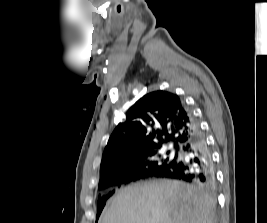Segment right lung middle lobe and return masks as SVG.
Listing matches in <instances>:
<instances>
[{
    "mask_svg": "<svg viewBox=\"0 0 267 223\" xmlns=\"http://www.w3.org/2000/svg\"><path fill=\"white\" fill-rule=\"evenodd\" d=\"M178 158V150L171 149L165 152L161 151V149L157 152H154L146 157H142L138 160V169L136 173L129 175L132 176L133 181L138 179H144L148 177H153L161 170L168 168L173 165ZM122 172L118 171L114 174H110L103 179L100 180L99 187L102 188L107 181L114 179L122 174ZM108 186V185H105ZM108 197H102L98 199V210H97V218L99 217Z\"/></svg>",
    "mask_w": 267,
    "mask_h": 223,
    "instance_id": "dd1d6c3e",
    "label": "right lung middle lobe"
}]
</instances>
